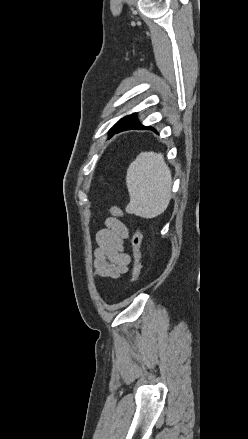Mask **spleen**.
Here are the masks:
<instances>
[{
  "instance_id": "spleen-1",
  "label": "spleen",
  "mask_w": 248,
  "mask_h": 439,
  "mask_svg": "<svg viewBox=\"0 0 248 439\" xmlns=\"http://www.w3.org/2000/svg\"><path fill=\"white\" fill-rule=\"evenodd\" d=\"M130 196L127 211L154 218L167 209L171 199L172 176L161 153L141 152L127 170Z\"/></svg>"
}]
</instances>
